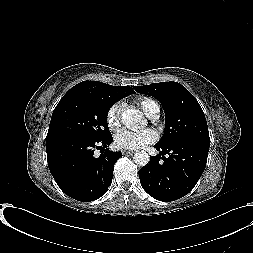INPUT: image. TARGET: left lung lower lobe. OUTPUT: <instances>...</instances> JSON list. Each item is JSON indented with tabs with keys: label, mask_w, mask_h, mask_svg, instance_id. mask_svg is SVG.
Segmentation results:
<instances>
[{
	"label": "left lung lower lobe",
	"mask_w": 253,
	"mask_h": 253,
	"mask_svg": "<svg viewBox=\"0 0 253 253\" xmlns=\"http://www.w3.org/2000/svg\"><path fill=\"white\" fill-rule=\"evenodd\" d=\"M210 142L180 139L166 146L155 145L158 156H151L139 170L144 190L153 198L170 202L188 194L201 177L207 162ZM165 154H169L165 157ZM162 155V157H161Z\"/></svg>",
	"instance_id": "obj_1"
}]
</instances>
